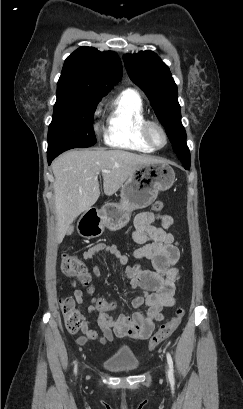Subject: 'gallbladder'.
Returning <instances> with one entry per match:
<instances>
[{
  "instance_id": "1",
  "label": "gallbladder",
  "mask_w": 243,
  "mask_h": 409,
  "mask_svg": "<svg viewBox=\"0 0 243 409\" xmlns=\"http://www.w3.org/2000/svg\"><path fill=\"white\" fill-rule=\"evenodd\" d=\"M73 230H74V228H73V226L71 225V226L69 227L68 231H67V235H71V234L73 233Z\"/></svg>"
}]
</instances>
